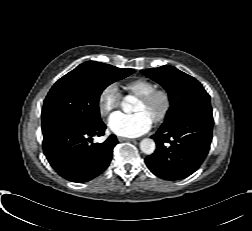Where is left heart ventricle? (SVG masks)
Here are the masks:
<instances>
[{"mask_svg":"<svg viewBox=\"0 0 252 231\" xmlns=\"http://www.w3.org/2000/svg\"><path fill=\"white\" fill-rule=\"evenodd\" d=\"M162 108V100L156 99L152 104L146 105L140 100L137 102L134 112H144L151 120L160 112Z\"/></svg>","mask_w":252,"mask_h":231,"instance_id":"obj_1","label":"left heart ventricle"}]
</instances>
